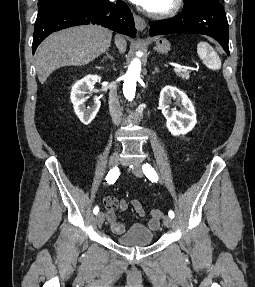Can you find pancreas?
Listing matches in <instances>:
<instances>
[{
  "label": "pancreas",
  "mask_w": 255,
  "mask_h": 287,
  "mask_svg": "<svg viewBox=\"0 0 255 287\" xmlns=\"http://www.w3.org/2000/svg\"><path fill=\"white\" fill-rule=\"evenodd\" d=\"M177 76H180L182 80H189V72H184V74H180V72H176Z\"/></svg>",
  "instance_id": "cf45deb5"
}]
</instances>
